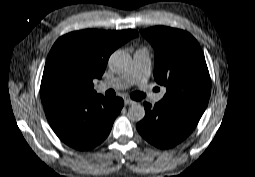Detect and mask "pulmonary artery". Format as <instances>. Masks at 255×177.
I'll return each mask as SVG.
<instances>
[{"mask_svg":"<svg viewBox=\"0 0 255 177\" xmlns=\"http://www.w3.org/2000/svg\"><path fill=\"white\" fill-rule=\"evenodd\" d=\"M151 74V61L149 53L145 49H138L133 55V62L129 70L123 75L110 79L107 82L100 83L99 87L125 89L132 85H138L144 87L149 80ZM164 95V91L159 93L156 97L157 100H161Z\"/></svg>","mask_w":255,"mask_h":177,"instance_id":"e3ab8cb5","label":"pulmonary artery"}]
</instances>
